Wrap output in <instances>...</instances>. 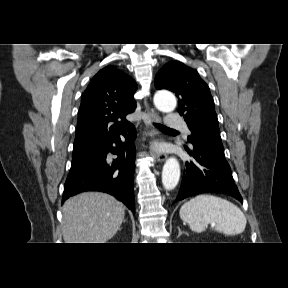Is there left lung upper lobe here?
Masks as SVG:
<instances>
[{"instance_id":"obj_1","label":"left lung upper lobe","mask_w":288,"mask_h":288,"mask_svg":"<svg viewBox=\"0 0 288 288\" xmlns=\"http://www.w3.org/2000/svg\"><path fill=\"white\" fill-rule=\"evenodd\" d=\"M155 86L168 89L178 97V112L184 116L191 131L189 143H202L224 154L214 100L196 70L172 60L157 73Z\"/></svg>"}]
</instances>
